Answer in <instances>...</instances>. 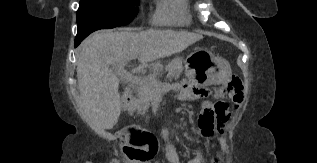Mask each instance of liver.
Wrapping results in <instances>:
<instances>
[{"label":"liver","instance_id":"liver-1","mask_svg":"<svg viewBox=\"0 0 317 163\" xmlns=\"http://www.w3.org/2000/svg\"><path fill=\"white\" fill-rule=\"evenodd\" d=\"M187 31L149 29L141 32L101 30L78 48L77 80L80 108L95 130L112 129L118 122L121 101L119 79L111 66L127 57L144 64L171 56L201 40Z\"/></svg>","mask_w":317,"mask_h":163}]
</instances>
